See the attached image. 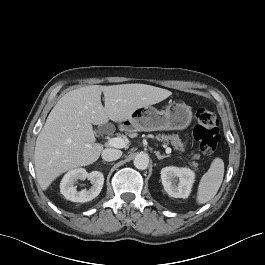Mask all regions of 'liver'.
Segmentation results:
<instances>
[{"label":"liver","instance_id":"liver-1","mask_svg":"<svg viewBox=\"0 0 265 265\" xmlns=\"http://www.w3.org/2000/svg\"><path fill=\"white\" fill-rule=\"evenodd\" d=\"M171 94L146 84L91 85L66 93L50 112L36 140L34 164L40 187L46 190L66 171L98 160L103 145L95 142L92 125L106 124L109 119L124 122L136 109L159 103Z\"/></svg>","mask_w":265,"mask_h":265}]
</instances>
